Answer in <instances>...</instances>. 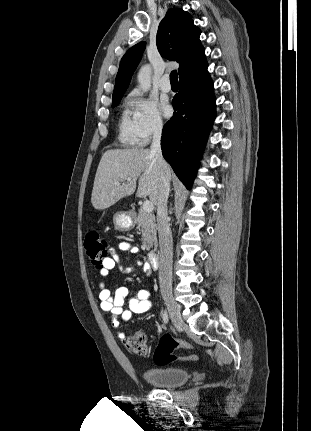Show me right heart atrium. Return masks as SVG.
<instances>
[{"instance_id": "obj_1", "label": "right heart atrium", "mask_w": 311, "mask_h": 431, "mask_svg": "<svg viewBox=\"0 0 311 431\" xmlns=\"http://www.w3.org/2000/svg\"><path fill=\"white\" fill-rule=\"evenodd\" d=\"M126 102L132 107V115L140 129L142 145L163 133L166 123L161 110L153 100L134 90L126 97Z\"/></svg>"}]
</instances>
